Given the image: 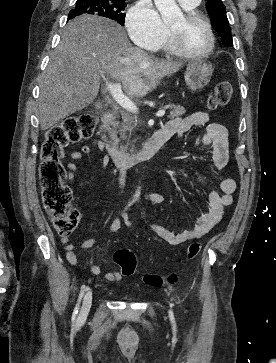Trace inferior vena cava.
I'll list each match as a JSON object with an SVG mask.
<instances>
[{
	"label": "inferior vena cava",
	"instance_id": "1",
	"mask_svg": "<svg viewBox=\"0 0 276 363\" xmlns=\"http://www.w3.org/2000/svg\"><path fill=\"white\" fill-rule=\"evenodd\" d=\"M121 173H122V175H121L120 183L124 184V176H125L126 172H125V170L122 169Z\"/></svg>",
	"mask_w": 276,
	"mask_h": 363
}]
</instances>
